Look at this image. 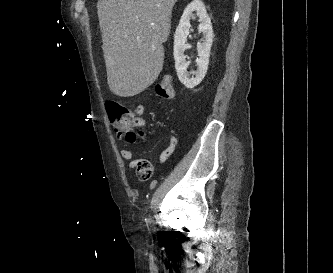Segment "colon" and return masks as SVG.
I'll return each mask as SVG.
<instances>
[{"label":"colon","mask_w":333,"mask_h":273,"mask_svg":"<svg viewBox=\"0 0 333 273\" xmlns=\"http://www.w3.org/2000/svg\"><path fill=\"white\" fill-rule=\"evenodd\" d=\"M155 89L157 95L163 99H172L174 96L173 80L168 75L162 77L157 82ZM106 109L116 134L125 138L128 142H134L138 136L135 131L138 127L135 114L128 108L114 101L107 102ZM135 171L139 180L147 181L152 175L153 167L150 161L138 159Z\"/></svg>","instance_id":"5ec220e1"}]
</instances>
